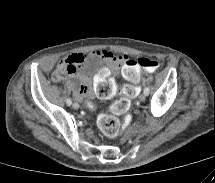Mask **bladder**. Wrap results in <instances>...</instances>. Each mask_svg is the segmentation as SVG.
I'll return each mask as SVG.
<instances>
[{
    "mask_svg": "<svg viewBox=\"0 0 215 183\" xmlns=\"http://www.w3.org/2000/svg\"><path fill=\"white\" fill-rule=\"evenodd\" d=\"M80 73L88 76H100L108 74L104 59L96 54L89 55L79 64Z\"/></svg>",
    "mask_w": 215,
    "mask_h": 183,
    "instance_id": "obj_1",
    "label": "bladder"
}]
</instances>
